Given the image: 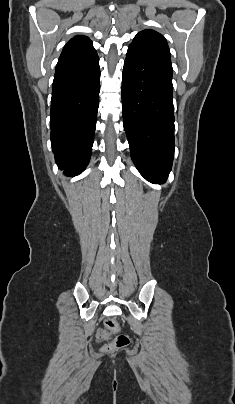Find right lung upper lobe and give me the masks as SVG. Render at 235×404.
<instances>
[{
    "label": "right lung upper lobe",
    "instance_id": "1",
    "mask_svg": "<svg viewBox=\"0 0 235 404\" xmlns=\"http://www.w3.org/2000/svg\"><path fill=\"white\" fill-rule=\"evenodd\" d=\"M97 57L92 41L86 36H75L64 47L58 64L85 61Z\"/></svg>",
    "mask_w": 235,
    "mask_h": 404
}]
</instances>
